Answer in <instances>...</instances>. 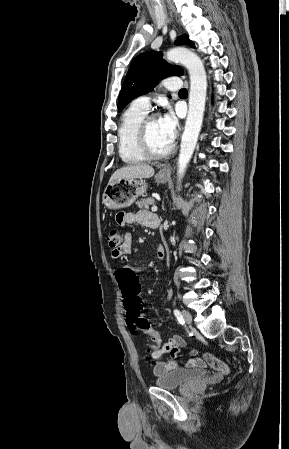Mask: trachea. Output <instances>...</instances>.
<instances>
[{"instance_id":"obj_1","label":"trachea","mask_w":289,"mask_h":449,"mask_svg":"<svg viewBox=\"0 0 289 449\" xmlns=\"http://www.w3.org/2000/svg\"><path fill=\"white\" fill-rule=\"evenodd\" d=\"M179 93L185 94V93H188V91H187L185 88H182V89L179 91Z\"/></svg>"}]
</instances>
